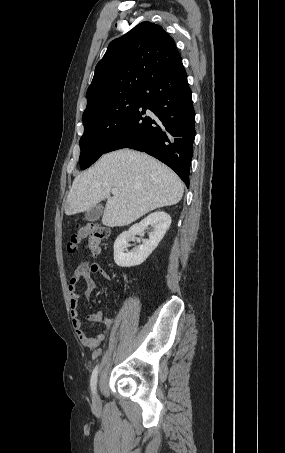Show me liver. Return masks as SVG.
Returning <instances> with one entry per match:
<instances>
[{
	"label": "liver",
	"instance_id": "1",
	"mask_svg": "<svg viewBox=\"0 0 285 453\" xmlns=\"http://www.w3.org/2000/svg\"><path fill=\"white\" fill-rule=\"evenodd\" d=\"M113 188L117 194L110 195ZM184 192L178 175L155 158L130 149L104 154L76 176L65 202L67 216L106 200L102 223L125 226L146 213L177 204Z\"/></svg>",
	"mask_w": 285,
	"mask_h": 453
}]
</instances>
